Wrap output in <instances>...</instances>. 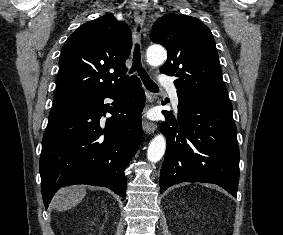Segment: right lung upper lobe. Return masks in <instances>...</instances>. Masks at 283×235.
<instances>
[{
    "mask_svg": "<svg viewBox=\"0 0 283 235\" xmlns=\"http://www.w3.org/2000/svg\"><path fill=\"white\" fill-rule=\"evenodd\" d=\"M131 47L130 28L110 15L81 25L63 45L54 104L78 102L123 85Z\"/></svg>",
    "mask_w": 283,
    "mask_h": 235,
    "instance_id": "obj_1",
    "label": "right lung upper lobe"
}]
</instances>
